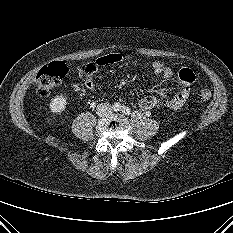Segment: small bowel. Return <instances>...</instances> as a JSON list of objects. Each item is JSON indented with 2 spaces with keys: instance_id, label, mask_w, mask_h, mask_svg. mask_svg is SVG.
<instances>
[{
  "instance_id": "small-bowel-1",
  "label": "small bowel",
  "mask_w": 233,
  "mask_h": 233,
  "mask_svg": "<svg viewBox=\"0 0 233 233\" xmlns=\"http://www.w3.org/2000/svg\"><path fill=\"white\" fill-rule=\"evenodd\" d=\"M129 59L130 56L127 54L111 53L101 56L97 58L93 63H89V64H93L95 71L100 66L119 64L128 61ZM87 65L88 64H85L83 65V67H86ZM152 70L154 74L161 75L165 80L173 81L174 83L182 86V89L167 102L168 108L172 110L181 109L185 105L188 99L189 96L188 86L191 83L190 81L184 78V74L188 72L192 73V71L187 68H182L179 71L175 72L172 68L166 66L160 61H154L152 63ZM91 74H88L84 79V86L88 90H94L95 88V84L91 77ZM157 103H158L157 98L153 95H149L140 99L138 105L141 110L145 112H150L153 108L156 107Z\"/></svg>"
}]
</instances>
